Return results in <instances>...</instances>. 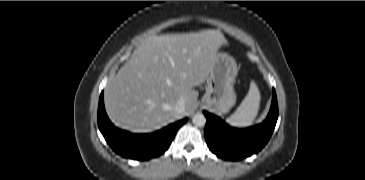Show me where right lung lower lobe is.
Wrapping results in <instances>:
<instances>
[{
  "label": "right lung lower lobe",
  "instance_id": "1",
  "mask_svg": "<svg viewBox=\"0 0 365 180\" xmlns=\"http://www.w3.org/2000/svg\"><path fill=\"white\" fill-rule=\"evenodd\" d=\"M187 118L149 134H133L115 127L105 112L103 92L98 105V127L110 147L119 155L148 160L163 154Z\"/></svg>",
  "mask_w": 365,
  "mask_h": 180
}]
</instances>
